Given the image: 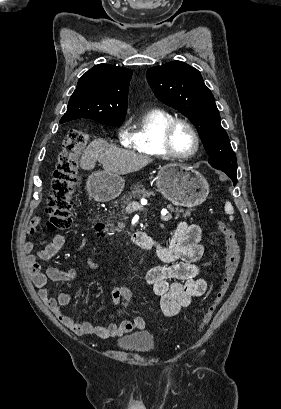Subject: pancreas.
Here are the masks:
<instances>
[{
    "instance_id": "pancreas-1",
    "label": "pancreas",
    "mask_w": 281,
    "mask_h": 409,
    "mask_svg": "<svg viewBox=\"0 0 281 409\" xmlns=\"http://www.w3.org/2000/svg\"><path fill=\"white\" fill-rule=\"evenodd\" d=\"M151 194H153L152 190H146L143 184H133L130 194H128L125 200H123L124 205H127V202H129L131 198H149ZM167 207L170 209V211H172V213H177L175 219L180 217V213H183L184 217H186V215L189 213V211H183V209H174V207H171V205H167ZM122 209H125V207H122ZM118 225H120V227H124V223H118Z\"/></svg>"
}]
</instances>
